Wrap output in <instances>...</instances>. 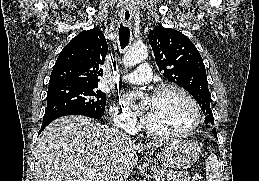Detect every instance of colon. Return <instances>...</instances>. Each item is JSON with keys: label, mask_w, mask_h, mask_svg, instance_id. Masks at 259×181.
<instances>
[{"label": "colon", "mask_w": 259, "mask_h": 181, "mask_svg": "<svg viewBox=\"0 0 259 181\" xmlns=\"http://www.w3.org/2000/svg\"><path fill=\"white\" fill-rule=\"evenodd\" d=\"M195 181H201V178L200 177H196Z\"/></svg>", "instance_id": "1"}]
</instances>
